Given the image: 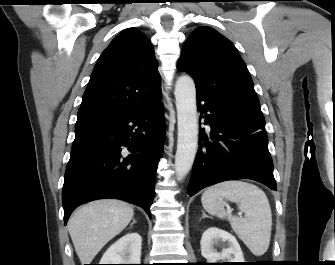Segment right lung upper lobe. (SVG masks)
Here are the masks:
<instances>
[{
  "mask_svg": "<svg viewBox=\"0 0 335 265\" xmlns=\"http://www.w3.org/2000/svg\"><path fill=\"white\" fill-rule=\"evenodd\" d=\"M145 35L126 29L96 63L77 114L76 126L110 119L161 99L160 75Z\"/></svg>",
  "mask_w": 335,
  "mask_h": 265,
  "instance_id": "obj_1",
  "label": "right lung upper lobe"
}]
</instances>
